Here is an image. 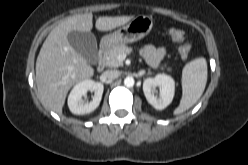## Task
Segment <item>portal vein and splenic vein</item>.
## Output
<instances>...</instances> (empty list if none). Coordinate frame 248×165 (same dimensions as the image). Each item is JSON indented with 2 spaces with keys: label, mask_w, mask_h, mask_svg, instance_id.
Returning <instances> with one entry per match:
<instances>
[{
  "label": "portal vein and splenic vein",
  "mask_w": 248,
  "mask_h": 165,
  "mask_svg": "<svg viewBox=\"0 0 248 165\" xmlns=\"http://www.w3.org/2000/svg\"><path fill=\"white\" fill-rule=\"evenodd\" d=\"M124 58V56H120V59H123Z\"/></svg>",
  "instance_id": "18ae733b"
}]
</instances>
